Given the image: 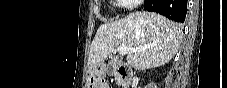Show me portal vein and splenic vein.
<instances>
[{
	"instance_id": "obj_1",
	"label": "portal vein and splenic vein",
	"mask_w": 227,
	"mask_h": 88,
	"mask_svg": "<svg viewBox=\"0 0 227 88\" xmlns=\"http://www.w3.org/2000/svg\"><path fill=\"white\" fill-rule=\"evenodd\" d=\"M117 51L121 54H127L130 50L124 46H118Z\"/></svg>"
}]
</instances>
